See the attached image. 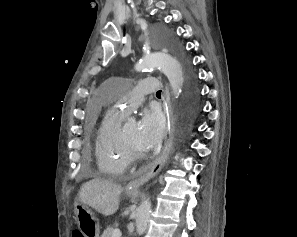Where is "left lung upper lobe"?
Masks as SVG:
<instances>
[{"label": "left lung upper lobe", "mask_w": 297, "mask_h": 237, "mask_svg": "<svg viewBox=\"0 0 297 237\" xmlns=\"http://www.w3.org/2000/svg\"><path fill=\"white\" fill-rule=\"evenodd\" d=\"M158 36L162 38L165 41H168L170 43L174 44V40L172 39L171 35L167 33L160 32L158 33ZM187 82H188V94L191 98L195 99L197 95V88L195 84V76L191 69L188 68L187 70Z\"/></svg>", "instance_id": "1"}]
</instances>
